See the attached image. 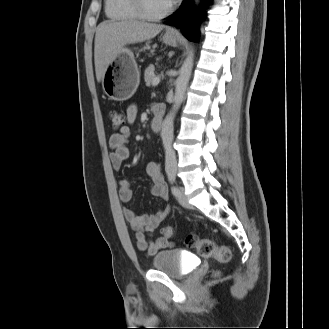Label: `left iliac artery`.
Here are the masks:
<instances>
[{"instance_id":"left-iliac-artery-1","label":"left iliac artery","mask_w":329,"mask_h":329,"mask_svg":"<svg viewBox=\"0 0 329 329\" xmlns=\"http://www.w3.org/2000/svg\"><path fill=\"white\" fill-rule=\"evenodd\" d=\"M168 180L171 184V192L174 196H178L179 194V189L178 187L175 185L176 183V174L174 172H169L168 173Z\"/></svg>"}]
</instances>
